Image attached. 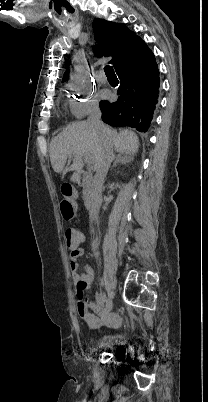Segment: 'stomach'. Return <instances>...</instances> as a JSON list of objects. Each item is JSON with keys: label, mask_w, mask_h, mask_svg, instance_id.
<instances>
[{"label": "stomach", "mask_w": 208, "mask_h": 402, "mask_svg": "<svg viewBox=\"0 0 208 402\" xmlns=\"http://www.w3.org/2000/svg\"><path fill=\"white\" fill-rule=\"evenodd\" d=\"M71 180H72V182H77L78 178H77L76 174H74V176H72Z\"/></svg>", "instance_id": "0dacf381"}]
</instances>
